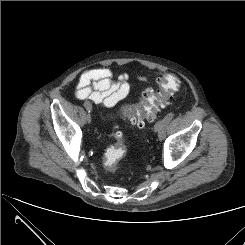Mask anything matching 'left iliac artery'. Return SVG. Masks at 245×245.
Instances as JSON below:
<instances>
[{"label": "left iliac artery", "instance_id": "44dca946", "mask_svg": "<svg viewBox=\"0 0 245 245\" xmlns=\"http://www.w3.org/2000/svg\"><path fill=\"white\" fill-rule=\"evenodd\" d=\"M174 117V113H169L167 114L164 119H163V125L161 127V133L163 134V136H165V132H166V127L169 124V122L173 119Z\"/></svg>", "mask_w": 245, "mask_h": 245}]
</instances>
